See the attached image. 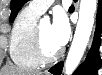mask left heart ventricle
Masks as SVG:
<instances>
[{
    "label": "left heart ventricle",
    "instance_id": "1",
    "mask_svg": "<svg viewBox=\"0 0 102 75\" xmlns=\"http://www.w3.org/2000/svg\"><path fill=\"white\" fill-rule=\"evenodd\" d=\"M42 45L48 55L58 51L60 48L55 44L51 35L50 23L40 24Z\"/></svg>",
    "mask_w": 102,
    "mask_h": 75
}]
</instances>
